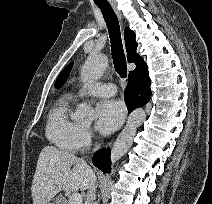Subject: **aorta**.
<instances>
[{
  "label": "aorta",
  "instance_id": "1",
  "mask_svg": "<svg viewBox=\"0 0 212 204\" xmlns=\"http://www.w3.org/2000/svg\"><path fill=\"white\" fill-rule=\"evenodd\" d=\"M108 66V57L103 54H91L81 69V79L85 85L97 81ZM94 110L86 102L80 103L76 108V116L80 121L90 122L94 118ZM146 119V112L143 109L133 111L126 126L116 139L112 151L111 160L113 164L118 161L132 146L137 128Z\"/></svg>",
  "mask_w": 212,
  "mask_h": 204
}]
</instances>
